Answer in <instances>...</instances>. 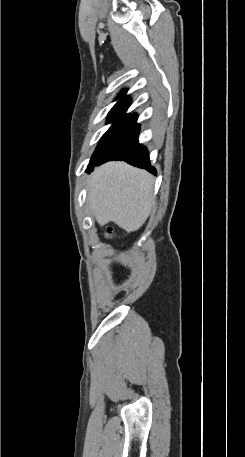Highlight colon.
I'll return each instance as SVG.
<instances>
[{
	"mask_svg": "<svg viewBox=\"0 0 245 457\" xmlns=\"http://www.w3.org/2000/svg\"><path fill=\"white\" fill-rule=\"evenodd\" d=\"M112 235H113L112 229H111V228H108V229H107V232H106V236H107V237H111Z\"/></svg>",
	"mask_w": 245,
	"mask_h": 457,
	"instance_id": "1",
	"label": "colon"
}]
</instances>
